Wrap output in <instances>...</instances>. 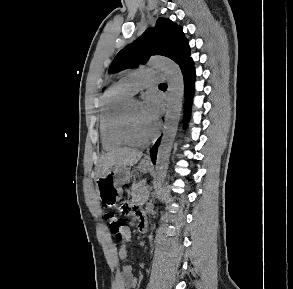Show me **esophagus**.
Segmentation results:
<instances>
[{"mask_svg": "<svg viewBox=\"0 0 293 289\" xmlns=\"http://www.w3.org/2000/svg\"><path fill=\"white\" fill-rule=\"evenodd\" d=\"M143 160L146 161V162H149L150 161L149 155H146Z\"/></svg>", "mask_w": 293, "mask_h": 289, "instance_id": "1", "label": "esophagus"}]
</instances>
